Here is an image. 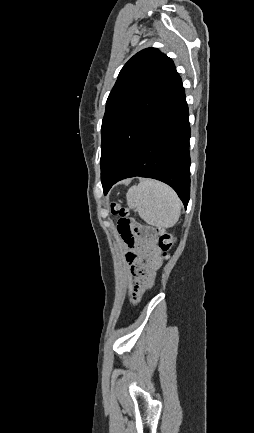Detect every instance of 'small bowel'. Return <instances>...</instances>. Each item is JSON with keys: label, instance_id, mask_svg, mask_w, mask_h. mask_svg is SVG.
Masks as SVG:
<instances>
[{"label": "small bowel", "instance_id": "1", "mask_svg": "<svg viewBox=\"0 0 254 433\" xmlns=\"http://www.w3.org/2000/svg\"><path fill=\"white\" fill-rule=\"evenodd\" d=\"M136 251L126 254L127 275L133 278L131 291L137 297L144 290L153 286L155 274L162 265L160 249L155 244L154 236L141 235L137 238Z\"/></svg>", "mask_w": 254, "mask_h": 433}]
</instances>
